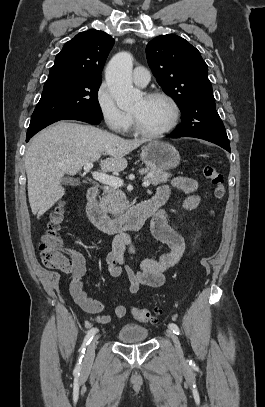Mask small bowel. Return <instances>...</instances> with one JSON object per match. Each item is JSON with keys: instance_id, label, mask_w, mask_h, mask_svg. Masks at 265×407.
<instances>
[{"instance_id": "obj_1", "label": "small bowel", "mask_w": 265, "mask_h": 407, "mask_svg": "<svg viewBox=\"0 0 265 407\" xmlns=\"http://www.w3.org/2000/svg\"><path fill=\"white\" fill-rule=\"evenodd\" d=\"M172 186L188 194L185 206L194 209L199 204V196L195 194L198 182L189 177L177 176L172 180ZM169 186L158 188L155 198L167 200ZM153 236L168 246V250L157 258L143 259L137 269L129 268L124 263V252L132 246L127 237L118 238L111 251L107 254L106 263L109 274L114 278L126 276L130 282L128 293H137L140 286L160 287L164 284L165 273L176 266L185 251V241L179 231L172 225L169 216L164 210L155 212L151 220ZM86 273V261L80 253H74V267L67 278L70 294L78 306L95 318L99 324H107L112 319H121L126 314L124 305H117L113 315H103L104 305L91 297L83 290L82 278Z\"/></svg>"}]
</instances>
